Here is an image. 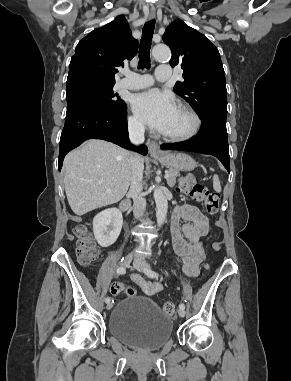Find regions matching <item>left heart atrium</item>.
I'll list each match as a JSON object with an SVG mask.
<instances>
[{"label":"left heart atrium","instance_id":"obj_1","mask_svg":"<svg viewBox=\"0 0 291 381\" xmlns=\"http://www.w3.org/2000/svg\"><path fill=\"white\" fill-rule=\"evenodd\" d=\"M132 108L151 128L164 132L178 106L171 95L154 89L135 95Z\"/></svg>","mask_w":291,"mask_h":381}]
</instances>
